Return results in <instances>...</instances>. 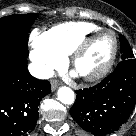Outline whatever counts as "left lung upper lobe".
<instances>
[{
    "label": "left lung upper lobe",
    "instance_id": "obj_1",
    "mask_svg": "<svg viewBox=\"0 0 136 136\" xmlns=\"http://www.w3.org/2000/svg\"><path fill=\"white\" fill-rule=\"evenodd\" d=\"M119 39H120V47H121V54H122L121 59L122 60L133 59L134 54L126 38L120 35Z\"/></svg>",
    "mask_w": 136,
    "mask_h": 136
}]
</instances>
